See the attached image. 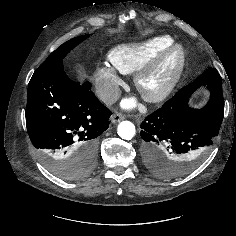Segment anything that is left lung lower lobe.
<instances>
[{"instance_id": "1", "label": "left lung lower lobe", "mask_w": 236, "mask_h": 236, "mask_svg": "<svg viewBox=\"0 0 236 236\" xmlns=\"http://www.w3.org/2000/svg\"><path fill=\"white\" fill-rule=\"evenodd\" d=\"M200 86H207L211 96L205 107L193 109L188 101ZM223 115L221 77L209 68L141 123L147 167L172 176L198 163L218 135Z\"/></svg>"}]
</instances>
